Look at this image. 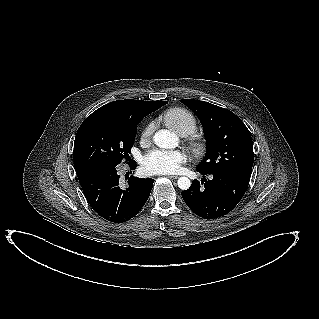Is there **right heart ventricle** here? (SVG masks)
<instances>
[{"label": "right heart ventricle", "mask_w": 319, "mask_h": 319, "mask_svg": "<svg viewBox=\"0 0 319 319\" xmlns=\"http://www.w3.org/2000/svg\"><path fill=\"white\" fill-rule=\"evenodd\" d=\"M165 124L177 134L186 136L197 129V120L187 109L175 107L167 110L163 115Z\"/></svg>", "instance_id": "e07e8e85"}]
</instances>
